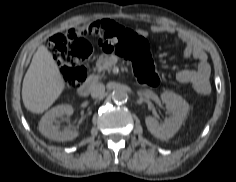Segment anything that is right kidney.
I'll return each instance as SVG.
<instances>
[{
	"mask_svg": "<svg viewBox=\"0 0 236 182\" xmlns=\"http://www.w3.org/2000/svg\"><path fill=\"white\" fill-rule=\"evenodd\" d=\"M73 114L71 105H58L45 113L39 122V131L48 139L54 141H71L78 137L79 132L71 129L61 130L55 125L57 118L63 115L70 116Z\"/></svg>",
	"mask_w": 236,
	"mask_h": 182,
	"instance_id": "ca27d5eb",
	"label": "right kidney"
}]
</instances>
